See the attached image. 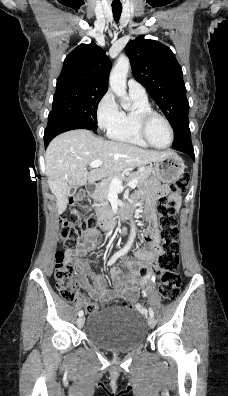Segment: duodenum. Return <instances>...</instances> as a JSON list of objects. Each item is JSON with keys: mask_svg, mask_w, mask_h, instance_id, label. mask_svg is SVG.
<instances>
[{"mask_svg": "<svg viewBox=\"0 0 228 396\" xmlns=\"http://www.w3.org/2000/svg\"><path fill=\"white\" fill-rule=\"evenodd\" d=\"M88 193L90 196H94L95 186H90L88 189ZM134 206V204L125 206L122 209L117 210L112 218L102 219L100 221L101 227L106 231L114 229L118 224L131 216Z\"/></svg>", "mask_w": 228, "mask_h": 396, "instance_id": "obj_1", "label": "duodenum"}]
</instances>
